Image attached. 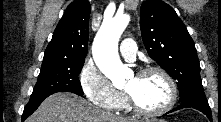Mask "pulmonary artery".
I'll list each match as a JSON object with an SVG mask.
<instances>
[{"label":"pulmonary artery","mask_w":221,"mask_h":122,"mask_svg":"<svg viewBox=\"0 0 221 122\" xmlns=\"http://www.w3.org/2000/svg\"><path fill=\"white\" fill-rule=\"evenodd\" d=\"M120 54L127 60L132 61L136 56V43L131 38H126L120 43Z\"/></svg>","instance_id":"e3ab8cb5"}]
</instances>
